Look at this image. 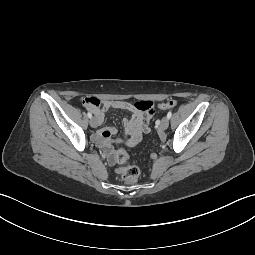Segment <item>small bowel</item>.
I'll use <instances>...</instances> for the list:
<instances>
[{
	"instance_id": "small-bowel-1",
	"label": "small bowel",
	"mask_w": 255,
	"mask_h": 255,
	"mask_svg": "<svg viewBox=\"0 0 255 255\" xmlns=\"http://www.w3.org/2000/svg\"><path fill=\"white\" fill-rule=\"evenodd\" d=\"M93 99L96 101V104L86 105V107L94 114L97 120V126L103 123L105 111L110 108L124 109L131 113L129 118L124 119V127L127 133L125 144L127 146L131 147L136 145L142 135L149 131L148 123L154 112L151 102L142 101L133 104L127 101H101L97 98ZM115 133L116 129L114 127H103L96 132L95 136L96 141L104 147L109 164L111 165L116 163L115 154L110 143V139Z\"/></svg>"
}]
</instances>
